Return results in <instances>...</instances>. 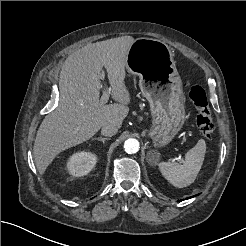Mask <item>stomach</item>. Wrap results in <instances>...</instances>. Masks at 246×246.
<instances>
[{
	"label": "stomach",
	"mask_w": 246,
	"mask_h": 246,
	"mask_svg": "<svg viewBox=\"0 0 246 246\" xmlns=\"http://www.w3.org/2000/svg\"><path fill=\"white\" fill-rule=\"evenodd\" d=\"M173 56L166 43L144 37L135 39L127 54L126 69L139 76L140 90L150 105L148 135L155 147L167 145L185 120L182 81Z\"/></svg>",
	"instance_id": "obj_1"
}]
</instances>
